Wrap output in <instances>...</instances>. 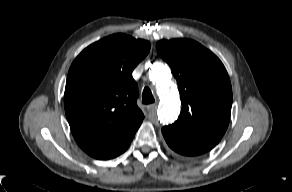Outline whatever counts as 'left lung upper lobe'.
<instances>
[{"mask_svg":"<svg viewBox=\"0 0 292 192\" xmlns=\"http://www.w3.org/2000/svg\"><path fill=\"white\" fill-rule=\"evenodd\" d=\"M156 47L172 68L183 105L178 120L165 128L217 144L228 127L232 106V88L224 65L193 40H161Z\"/></svg>","mask_w":292,"mask_h":192,"instance_id":"1","label":"left lung upper lobe"}]
</instances>
